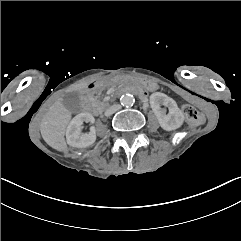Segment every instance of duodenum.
<instances>
[{"label": "duodenum", "instance_id": "obj_1", "mask_svg": "<svg viewBox=\"0 0 241 241\" xmlns=\"http://www.w3.org/2000/svg\"><path fill=\"white\" fill-rule=\"evenodd\" d=\"M102 85V80H95L84 88L82 92V106L85 111L92 112L94 114L98 113V109L92 103V96ZM125 93H132L140 98H144L146 96L145 90L135 86L123 87L115 92V96L118 97Z\"/></svg>", "mask_w": 241, "mask_h": 241}]
</instances>
